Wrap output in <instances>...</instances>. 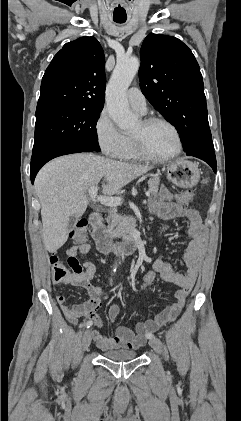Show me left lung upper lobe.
<instances>
[{
	"label": "left lung upper lobe",
	"instance_id": "5c2ea615",
	"mask_svg": "<svg viewBox=\"0 0 241 421\" xmlns=\"http://www.w3.org/2000/svg\"><path fill=\"white\" fill-rule=\"evenodd\" d=\"M140 57L142 93L176 127L185 153L214 150L202 75L191 50L175 37L151 33Z\"/></svg>",
	"mask_w": 241,
	"mask_h": 421
}]
</instances>
